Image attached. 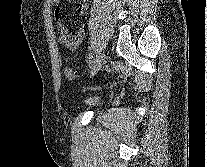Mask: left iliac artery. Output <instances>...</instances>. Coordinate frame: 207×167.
Returning a JSON list of instances; mask_svg holds the SVG:
<instances>
[{
	"label": "left iliac artery",
	"mask_w": 207,
	"mask_h": 167,
	"mask_svg": "<svg viewBox=\"0 0 207 167\" xmlns=\"http://www.w3.org/2000/svg\"><path fill=\"white\" fill-rule=\"evenodd\" d=\"M92 53L90 52L89 54H88V56H87V62L88 63H91V60H92Z\"/></svg>",
	"instance_id": "1"
}]
</instances>
